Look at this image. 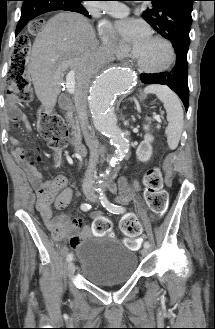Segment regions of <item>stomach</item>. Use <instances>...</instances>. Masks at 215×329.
Returning <instances> with one entry per match:
<instances>
[{
	"mask_svg": "<svg viewBox=\"0 0 215 329\" xmlns=\"http://www.w3.org/2000/svg\"><path fill=\"white\" fill-rule=\"evenodd\" d=\"M141 99L145 98L143 95L140 96Z\"/></svg>",
	"mask_w": 215,
	"mask_h": 329,
	"instance_id": "stomach-1",
	"label": "stomach"
}]
</instances>
